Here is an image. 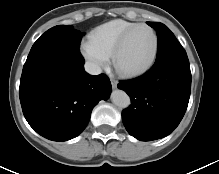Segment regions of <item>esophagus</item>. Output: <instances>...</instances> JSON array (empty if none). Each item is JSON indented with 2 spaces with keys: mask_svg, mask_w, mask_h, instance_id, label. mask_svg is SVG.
Returning <instances> with one entry per match:
<instances>
[{
  "mask_svg": "<svg viewBox=\"0 0 219 174\" xmlns=\"http://www.w3.org/2000/svg\"><path fill=\"white\" fill-rule=\"evenodd\" d=\"M117 81L115 79H111L112 88L115 89L117 87Z\"/></svg>",
  "mask_w": 219,
  "mask_h": 174,
  "instance_id": "34e87169",
  "label": "esophagus"
}]
</instances>
